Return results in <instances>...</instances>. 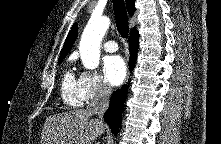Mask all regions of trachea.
<instances>
[{
	"label": "trachea",
	"mask_w": 221,
	"mask_h": 144,
	"mask_svg": "<svg viewBox=\"0 0 221 144\" xmlns=\"http://www.w3.org/2000/svg\"><path fill=\"white\" fill-rule=\"evenodd\" d=\"M113 8L117 30L123 38H127L129 26L124 0H113Z\"/></svg>",
	"instance_id": "obj_1"
}]
</instances>
